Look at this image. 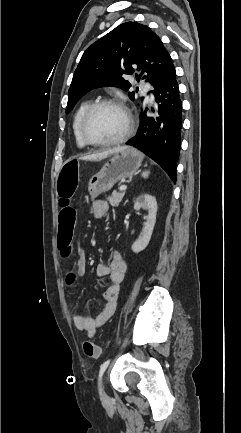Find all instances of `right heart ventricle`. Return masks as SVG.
Wrapping results in <instances>:
<instances>
[{"label": "right heart ventricle", "instance_id": "1", "mask_svg": "<svg viewBox=\"0 0 241 433\" xmlns=\"http://www.w3.org/2000/svg\"><path fill=\"white\" fill-rule=\"evenodd\" d=\"M92 104L90 100L83 101L77 108L74 117H73V135L76 142V145L80 148H84L87 146L86 142L84 141L81 132H80V123L81 119L83 117V114L87 110V108Z\"/></svg>", "mask_w": 241, "mask_h": 433}]
</instances>
